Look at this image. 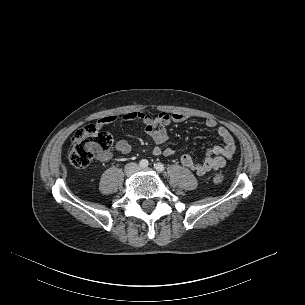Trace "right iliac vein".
Wrapping results in <instances>:
<instances>
[{"label":"right iliac vein","mask_w":305,"mask_h":305,"mask_svg":"<svg viewBox=\"0 0 305 305\" xmlns=\"http://www.w3.org/2000/svg\"><path fill=\"white\" fill-rule=\"evenodd\" d=\"M136 169H137L136 165L130 164V165H128L127 168H126V174H127L128 176H131L132 174L135 173Z\"/></svg>","instance_id":"obj_1"}]
</instances>
